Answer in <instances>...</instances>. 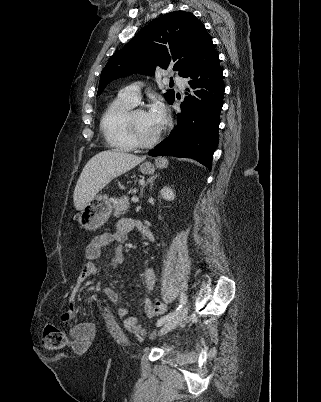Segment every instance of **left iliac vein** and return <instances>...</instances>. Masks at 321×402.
Segmentation results:
<instances>
[{"label": "left iliac vein", "instance_id": "1", "mask_svg": "<svg viewBox=\"0 0 321 402\" xmlns=\"http://www.w3.org/2000/svg\"><path fill=\"white\" fill-rule=\"evenodd\" d=\"M189 308L190 306L187 304L184 308H182L178 314L173 317L172 319H170L169 321H167L163 327L161 328L159 335H163L168 333L169 331L173 330L174 328H176L179 324H181V322L186 318V316L188 315L189 312Z\"/></svg>", "mask_w": 321, "mask_h": 402}]
</instances>
